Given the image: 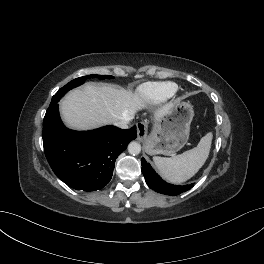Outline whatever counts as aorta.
I'll return each instance as SVG.
<instances>
[{
	"instance_id": "obj_1",
	"label": "aorta",
	"mask_w": 264,
	"mask_h": 264,
	"mask_svg": "<svg viewBox=\"0 0 264 264\" xmlns=\"http://www.w3.org/2000/svg\"><path fill=\"white\" fill-rule=\"evenodd\" d=\"M128 152L131 155H138L141 152V145L138 142H135V141L131 142L128 145Z\"/></svg>"
}]
</instances>
